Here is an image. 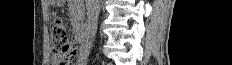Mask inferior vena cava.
I'll list each match as a JSON object with an SVG mask.
<instances>
[{
  "label": "inferior vena cava",
  "mask_w": 232,
  "mask_h": 65,
  "mask_svg": "<svg viewBox=\"0 0 232 65\" xmlns=\"http://www.w3.org/2000/svg\"><path fill=\"white\" fill-rule=\"evenodd\" d=\"M87 13V27L90 37L94 38L97 30L98 16L100 12L99 0H85Z\"/></svg>",
  "instance_id": "602c4592"
}]
</instances>
